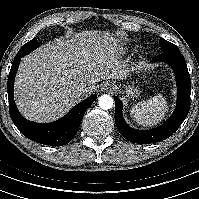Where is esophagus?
Here are the masks:
<instances>
[{
	"label": "esophagus",
	"instance_id": "esophagus-1",
	"mask_svg": "<svg viewBox=\"0 0 199 199\" xmlns=\"http://www.w3.org/2000/svg\"><path fill=\"white\" fill-rule=\"evenodd\" d=\"M115 88L116 85L113 82L107 81L102 85L101 90L104 92H112Z\"/></svg>",
	"mask_w": 199,
	"mask_h": 199
}]
</instances>
